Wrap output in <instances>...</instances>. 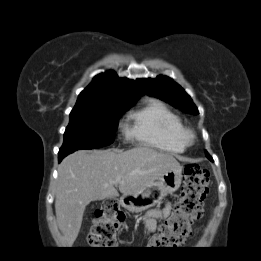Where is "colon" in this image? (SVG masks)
I'll return each mask as SVG.
<instances>
[{"mask_svg":"<svg viewBox=\"0 0 261 261\" xmlns=\"http://www.w3.org/2000/svg\"><path fill=\"white\" fill-rule=\"evenodd\" d=\"M209 172L197 165L184 170L180 197L171 215L159 226L149 245L153 248H172L183 243L191 233L192 223L203 215L202 204L207 196ZM126 218L125 213L113 199L106 200L96 210L88 243L94 248L117 247V237Z\"/></svg>","mask_w":261,"mask_h":261,"instance_id":"1","label":"colon"}]
</instances>
